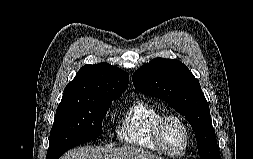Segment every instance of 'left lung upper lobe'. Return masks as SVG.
<instances>
[{
	"label": "left lung upper lobe",
	"mask_w": 253,
	"mask_h": 159,
	"mask_svg": "<svg viewBox=\"0 0 253 159\" xmlns=\"http://www.w3.org/2000/svg\"><path fill=\"white\" fill-rule=\"evenodd\" d=\"M132 81L140 92L168 102L185 116L195 132L200 159H221L209 105L199 81L182 62L155 58L140 67Z\"/></svg>",
	"instance_id": "obj_1"
}]
</instances>
